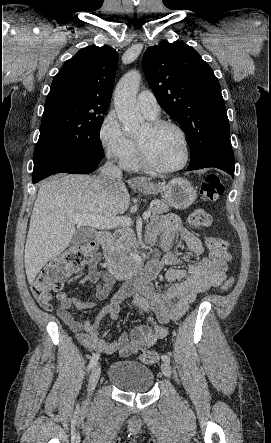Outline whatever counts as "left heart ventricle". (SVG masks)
<instances>
[{"label":"left heart ventricle","mask_w":271,"mask_h":443,"mask_svg":"<svg viewBox=\"0 0 271 443\" xmlns=\"http://www.w3.org/2000/svg\"><path fill=\"white\" fill-rule=\"evenodd\" d=\"M137 138L145 141L152 160L159 166H175L184 159V143L181 135L174 128L163 127L150 132L146 124Z\"/></svg>","instance_id":"1"}]
</instances>
